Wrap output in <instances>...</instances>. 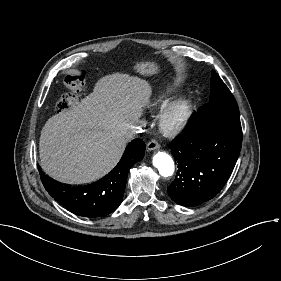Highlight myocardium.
<instances>
[{
	"instance_id": "f54148a6",
	"label": "myocardium",
	"mask_w": 281,
	"mask_h": 281,
	"mask_svg": "<svg viewBox=\"0 0 281 281\" xmlns=\"http://www.w3.org/2000/svg\"><path fill=\"white\" fill-rule=\"evenodd\" d=\"M193 114L189 98L180 97L171 102L159 115L158 129L166 138H174L188 125Z\"/></svg>"
}]
</instances>
